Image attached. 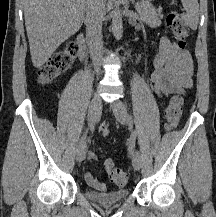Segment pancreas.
<instances>
[{"label":"pancreas","mask_w":216,"mask_h":217,"mask_svg":"<svg viewBox=\"0 0 216 217\" xmlns=\"http://www.w3.org/2000/svg\"><path fill=\"white\" fill-rule=\"evenodd\" d=\"M136 8L141 21L147 24L150 28H155L161 25V19L163 18L161 8L156 10L153 5L146 2L138 3Z\"/></svg>","instance_id":"1"}]
</instances>
